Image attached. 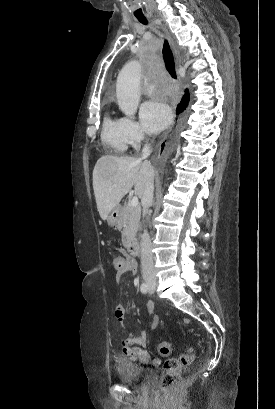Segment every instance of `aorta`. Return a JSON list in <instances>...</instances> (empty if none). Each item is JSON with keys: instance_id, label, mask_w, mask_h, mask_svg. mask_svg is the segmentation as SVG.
<instances>
[{"instance_id": "1", "label": "aorta", "mask_w": 275, "mask_h": 409, "mask_svg": "<svg viewBox=\"0 0 275 409\" xmlns=\"http://www.w3.org/2000/svg\"><path fill=\"white\" fill-rule=\"evenodd\" d=\"M140 72L138 60H130L121 68L116 82V96L120 110L133 118L140 102Z\"/></svg>"}]
</instances>
